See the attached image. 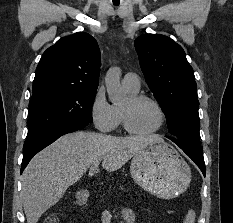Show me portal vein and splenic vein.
<instances>
[{
  "label": "portal vein and splenic vein",
  "mask_w": 233,
  "mask_h": 223,
  "mask_svg": "<svg viewBox=\"0 0 233 223\" xmlns=\"http://www.w3.org/2000/svg\"><path fill=\"white\" fill-rule=\"evenodd\" d=\"M99 163H100V161H97V163H92L91 169H97ZM89 175H92V173H89Z\"/></svg>",
  "instance_id": "18ae733b"
}]
</instances>
